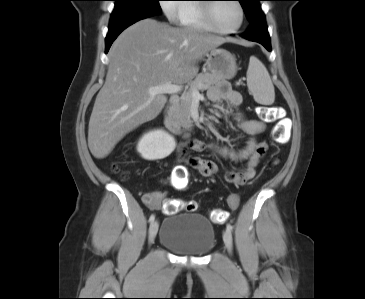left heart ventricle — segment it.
Wrapping results in <instances>:
<instances>
[{
	"label": "left heart ventricle",
	"mask_w": 365,
	"mask_h": 299,
	"mask_svg": "<svg viewBox=\"0 0 365 299\" xmlns=\"http://www.w3.org/2000/svg\"><path fill=\"white\" fill-rule=\"evenodd\" d=\"M215 25L223 29L236 27L240 22V10L233 1L217 3L213 11Z\"/></svg>",
	"instance_id": "b2bd125f"
}]
</instances>
